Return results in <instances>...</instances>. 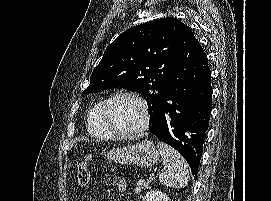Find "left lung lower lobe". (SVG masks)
<instances>
[{"mask_svg": "<svg viewBox=\"0 0 271 201\" xmlns=\"http://www.w3.org/2000/svg\"><path fill=\"white\" fill-rule=\"evenodd\" d=\"M212 108L207 55L189 27L182 29L168 90L149 131L175 148L197 178Z\"/></svg>", "mask_w": 271, "mask_h": 201, "instance_id": "1", "label": "left lung lower lobe"}]
</instances>
